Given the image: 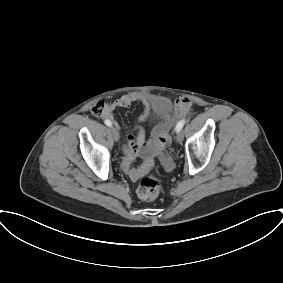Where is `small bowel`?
Returning <instances> with one entry per match:
<instances>
[{"instance_id":"1","label":"small bowel","mask_w":283,"mask_h":283,"mask_svg":"<svg viewBox=\"0 0 283 283\" xmlns=\"http://www.w3.org/2000/svg\"><path fill=\"white\" fill-rule=\"evenodd\" d=\"M135 102H141L145 106L144 111L139 117V122H144L149 115V107L150 105L155 106L158 110H160L163 118V124L157 126L154 129V133L159 132L172 118L164 113L163 105L164 102L158 99H152L149 95L141 93V92H132L127 95H124L115 101L109 103L105 107V111L103 116L107 119L114 121L113 112L117 108H128L131 107ZM191 107V103L188 99L180 98L176 101V109L175 116L183 117L185 116ZM116 126L117 123H115ZM124 149H125V157L121 162V169L126 173L131 179H139L145 173V167H134L133 161L134 158L139 155H145L147 153V142L146 136L143 128L139 126L137 128L136 135H126L124 138Z\"/></svg>"}]
</instances>
